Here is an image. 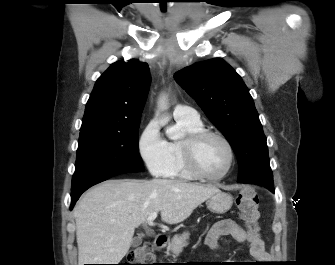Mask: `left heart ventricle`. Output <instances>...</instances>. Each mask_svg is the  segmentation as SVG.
I'll use <instances>...</instances> for the list:
<instances>
[{"label":"left heart ventricle","instance_id":"obj_1","mask_svg":"<svg viewBox=\"0 0 335 265\" xmlns=\"http://www.w3.org/2000/svg\"><path fill=\"white\" fill-rule=\"evenodd\" d=\"M229 161V153L225 144L211 137L202 142L197 152V162L200 169L207 175L221 174Z\"/></svg>","mask_w":335,"mask_h":265}]
</instances>
